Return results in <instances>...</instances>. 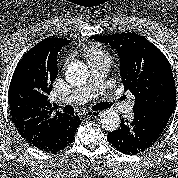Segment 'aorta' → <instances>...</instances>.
Segmentation results:
<instances>
[{"instance_id": "1", "label": "aorta", "mask_w": 178, "mask_h": 178, "mask_svg": "<svg viewBox=\"0 0 178 178\" xmlns=\"http://www.w3.org/2000/svg\"><path fill=\"white\" fill-rule=\"evenodd\" d=\"M88 76L87 66L80 61L71 62L65 72V79L71 86L79 87L85 84ZM99 123L102 128L113 131L119 127V114L113 108L106 109L100 113Z\"/></svg>"}]
</instances>
